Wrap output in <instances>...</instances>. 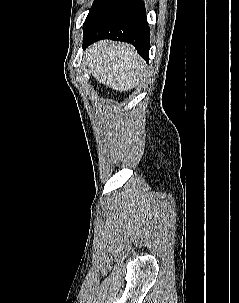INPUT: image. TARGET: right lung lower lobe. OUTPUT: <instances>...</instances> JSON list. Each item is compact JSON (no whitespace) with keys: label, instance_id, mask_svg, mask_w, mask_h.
Here are the masks:
<instances>
[{"label":"right lung lower lobe","instance_id":"98d812e1","mask_svg":"<svg viewBox=\"0 0 239 303\" xmlns=\"http://www.w3.org/2000/svg\"><path fill=\"white\" fill-rule=\"evenodd\" d=\"M150 29L144 2L141 0H109L91 24L84 28L83 47L95 41L112 39L131 43L140 56L149 60Z\"/></svg>","mask_w":239,"mask_h":303}]
</instances>
